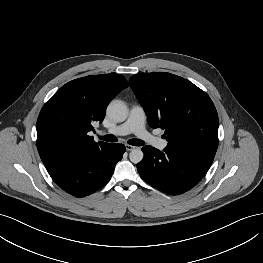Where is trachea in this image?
<instances>
[{"instance_id": "1", "label": "trachea", "mask_w": 263, "mask_h": 263, "mask_svg": "<svg viewBox=\"0 0 263 263\" xmlns=\"http://www.w3.org/2000/svg\"><path fill=\"white\" fill-rule=\"evenodd\" d=\"M101 140L107 141V142H117V138L114 135H105V136H99ZM128 144L133 146H142L144 145V142L140 139H130L128 140Z\"/></svg>"}]
</instances>
